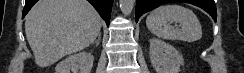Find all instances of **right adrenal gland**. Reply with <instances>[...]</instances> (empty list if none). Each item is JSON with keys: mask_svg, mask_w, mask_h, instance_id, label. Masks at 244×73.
Segmentation results:
<instances>
[{"mask_svg": "<svg viewBox=\"0 0 244 73\" xmlns=\"http://www.w3.org/2000/svg\"><path fill=\"white\" fill-rule=\"evenodd\" d=\"M100 41H101V34L98 35V39H96L93 43H95L96 46H98Z\"/></svg>", "mask_w": 244, "mask_h": 73, "instance_id": "1", "label": "right adrenal gland"}]
</instances>
